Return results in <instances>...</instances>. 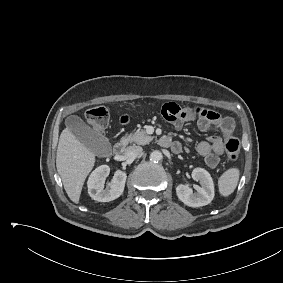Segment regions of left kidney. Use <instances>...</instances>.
<instances>
[{"label":"left kidney","mask_w":283,"mask_h":283,"mask_svg":"<svg viewBox=\"0 0 283 283\" xmlns=\"http://www.w3.org/2000/svg\"><path fill=\"white\" fill-rule=\"evenodd\" d=\"M192 178L199 181L201 187H197V193L184 184H179L176 187L178 198L189 207H201L208 205L215 196L214 183L211 175L203 168H195L192 171Z\"/></svg>","instance_id":"5707ae66"}]
</instances>
